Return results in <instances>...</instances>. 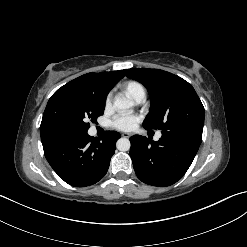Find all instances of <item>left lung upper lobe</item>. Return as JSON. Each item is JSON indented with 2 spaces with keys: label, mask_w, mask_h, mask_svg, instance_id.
Masks as SVG:
<instances>
[{
  "label": "left lung upper lobe",
  "mask_w": 247,
  "mask_h": 247,
  "mask_svg": "<svg viewBox=\"0 0 247 247\" xmlns=\"http://www.w3.org/2000/svg\"><path fill=\"white\" fill-rule=\"evenodd\" d=\"M128 78L142 83L150 96V112L143 126L163 134H179L201 143L205 110L190 83L159 69H125Z\"/></svg>",
  "instance_id": "5c2ea615"
}]
</instances>
